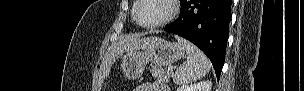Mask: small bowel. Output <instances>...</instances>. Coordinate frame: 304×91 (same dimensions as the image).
<instances>
[{"mask_svg":"<svg viewBox=\"0 0 304 91\" xmlns=\"http://www.w3.org/2000/svg\"><path fill=\"white\" fill-rule=\"evenodd\" d=\"M137 91H168V88L164 83L155 81L141 85Z\"/></svg>","mask_w":304,"mask_h":91,"instance_id":"c3829d8e","label":"small bowel"}]
</instances>
